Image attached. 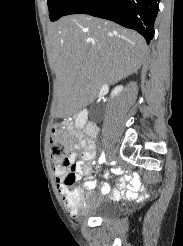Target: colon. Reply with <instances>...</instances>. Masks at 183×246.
<instances>
[{"label": "colon", "instance_id": "obj_1", "mask_svg": "<svg viewBox=\"0 0 183 246\" xmlns=\"http://www.w3.org/2000/svg\"><path fill=\"white\" fill-rule=\"evenodd\" d=\"M50 155L56 165L65 166L66 164H69L68 147L60 126H56L50 136ZM65 182L68 185H72L75 182V178H65ZM71 206L75 209H86L84 201L79 197L71 203Z\"/></svg>", "mask_w": 183, "mask_h": 246}]
</instances>
